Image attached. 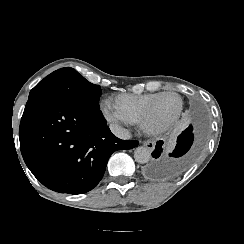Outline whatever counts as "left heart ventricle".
Returning a JSON list of instances; mask_svg holds the SVG:
<instances>
[{
  "mask_svg": "<svg viewBox=\"0 0 244 244\" xmlns=\"http://www.w3.org/2000/svg\"><path fill=\"white\" fill-rule=\"evenodd\" d=\"M177 99L173 96H163L158 99V103L155 104V110L158 114L163 115L164 118L170 117L173 111L177 107Z\"/></svg>",
  "mask_w": 244,
  "mask_h": 244,
  "instance_id": "b2bd125f",
  "label": "left heart ventricle"
}]
</instances>
